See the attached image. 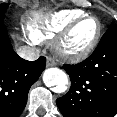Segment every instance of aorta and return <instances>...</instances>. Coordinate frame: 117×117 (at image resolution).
I'll return each mask as SVG.
<instances>
[{
    "mask_svg": "<svg viewBox=\"0 0 117 117\" xmlns=\"http://www.w3.org/2000/svg\"><path fill=\"white\" fill-rule=\"evenodd\" d=\"M43 82L47 87H57L62 91L68 84L67 74L59 68H49L43 73Z\"/></svg>",
    "mask_w": 117,
    "mask_h": 117,
    "instance_id": "762f6f07",
    "label": "aorta"
}]
</instances>
